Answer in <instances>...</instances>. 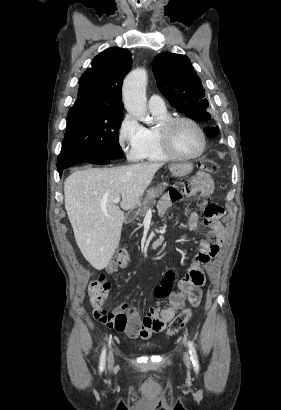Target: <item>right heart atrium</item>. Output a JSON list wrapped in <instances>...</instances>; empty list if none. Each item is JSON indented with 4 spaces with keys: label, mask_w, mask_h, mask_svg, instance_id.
I'll use <instances>...</instances> for the list:
<instances>
[{
    "label": "right heart atrium",
    "mask_w": 281,
    "mask_h": 410,
    "mask_svg": "<svg viewBox=\"0 0 281 410\" xmlns=\"http://www.w3.org/2000/svg\"><path fill=\"white\" fill-rule=\"evenodd\" d=\"M145 138V128L137 119L126 114L118 128V142L126 157L130 161L139 159Z\"/></svg>",
    "instance_id": "1"
}]
</instances>
